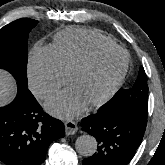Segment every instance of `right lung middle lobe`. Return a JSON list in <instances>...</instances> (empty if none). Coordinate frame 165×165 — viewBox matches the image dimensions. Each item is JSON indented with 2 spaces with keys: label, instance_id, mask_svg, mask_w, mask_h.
<instances>
[{
  "label": "right lung middle lobe",
  "instance_id": "dd1d6c3e",
  "mask_svg": "<svg viewBox=\"0 0 165 165\" xmlns=\"http://www.w3.org/2000/svg\"><path fill=\"white\" fill-rule=\"evenodd\" d=\"M36 20L22 18L0 30V68L9 71L17 82L27 85L28 33Z\"/></svg>",
  "mask_w": 165,
  "mask_h": 165
}]
</instances>
